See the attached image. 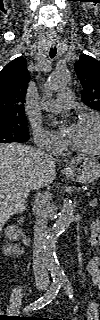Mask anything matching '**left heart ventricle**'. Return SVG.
<instances>
[{
    "label": "left heart ventricle",
    "instance_id": "1",
    "mask_svg": "<svg viewBox=\"0 0 100 320\" xmlns=\"http://www.w3.org/2000/svg\"><path fill=\"white\" fill-rule=\"evenodd\" d=\"M66 134L73 145L82 149H93L98 143V124L94 120L70 125Z\"/></svg>",
    "mask_w": 100,
    "mask_h": 320
}]
</instances>
